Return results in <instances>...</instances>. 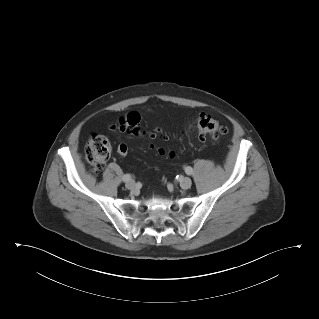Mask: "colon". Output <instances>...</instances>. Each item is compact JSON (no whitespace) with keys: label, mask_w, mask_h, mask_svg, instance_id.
<instances>
[{"label":"colon","mask_w":319,"mask_h":319,"mask_svg":"<svg viewBox=\"0 0 319 319\" xmlns=\"http://www.w3.org/2000/svg\"><path fill=\"white\" fill-rule=\"evenodd\" d=\"M119 129L131 136L140 137L145 134L141 125L140 115L136 112H130L120 120ZM194 131L202 138L219 139L227 134L226 125L207 114H200L193 123ZM118 152L126 155L128 148L125 144L118 146ZM111 154V145L107 137L103 135H93L89 138L85 147V157L92 165L95 171L101 170ZM170 157L174 153H169Z\"/></svg>","instance_id":"obj_1"}]
</instances>
